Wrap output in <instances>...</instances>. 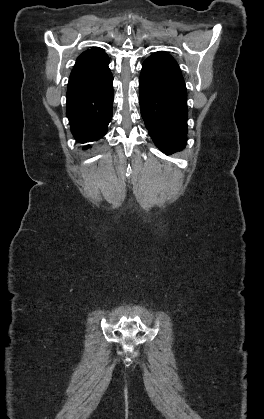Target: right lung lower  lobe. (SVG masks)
Listing matches in <instances>:
<instances>
[{
    "label": "right lung lower lobe",
    "instance_id": "right-lung-lower-lobe-1",
    "mask_svg": "<svg viewBox=\"0 0 264 419\" xmlns=\"http://www.w3.org/2000/svg\"><path fill=\"white\" fill-rule=\"evenodd\" d=\"M113 76L79 86H68L67 116L75 139L82 144L101 139L113 115ZM89 146H84L87 149Z\"/></svg>",
    "mask_w": 264,
    "mask_h": 419
}]
</instances>
